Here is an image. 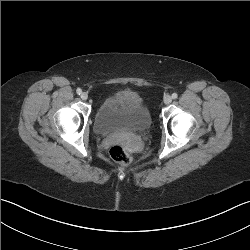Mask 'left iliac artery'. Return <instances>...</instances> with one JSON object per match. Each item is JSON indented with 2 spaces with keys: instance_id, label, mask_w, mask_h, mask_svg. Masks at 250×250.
<instances>
[{
  "instance_id": "obj_1",
  "label": "left iliac artery",
  "mask_w": 250,
  "mask_h": 250,
  "mask_svg": "<svg viewBox=\"0 0 250 250\" xmlns=\"http://www.w3.org/2000/svg\"><path fill=\"white\" fill-rule=\"evenodd\" d=\"M177 97H178L177 93H173V94H172V98H173V99H176Z\"/></svg>"
}]
</instances>
